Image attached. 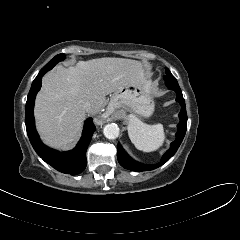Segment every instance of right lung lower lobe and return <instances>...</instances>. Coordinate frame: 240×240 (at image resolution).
<instances>
[{
	"label": "right lung lower lobe",
	"instance_id": "1",
	"mask_svg": "<svg viewBox=\"0 0 240 240\" xmlns=\"http://www.w3.org/2000/svg\"><path fill=\"white\" fill-rule=\"evenodd\" d=\"M53 67V65H45L32 83L26 102V130L34 150L46 163L62 173L76 175L83 172L87 165L86 151L96 130L92 118L87 119L85 122L82 137L76 148L68 152H58L45 146L39 139L35 128L33 115L35 97L40 90L43 75Z\"/></svg>",
	"mask_w": 240,
	"mask_h": 240
}]
</instances>
